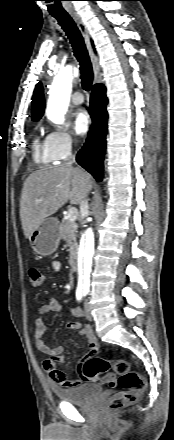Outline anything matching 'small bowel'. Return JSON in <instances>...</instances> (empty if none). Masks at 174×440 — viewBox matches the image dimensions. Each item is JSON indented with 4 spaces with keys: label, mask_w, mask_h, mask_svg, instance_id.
I'll return each mask as SVG.
<instances>
[{
    "label": "small bowel",
    "mask_w": 174,
    "mask_h": 440,
    "mask_svg": "<svg viewBox=\"0 0 174 440\" xmlns=\"http://www.w3.org/2000/svg\"><path fill=\"white\" fill-rule=\"evenodd\" d=\"M60 268V264L58 262L52 263V270L54 272H57ZM61 303L56 298H51L46 304H43L39 307L38 313L39 314H48V313H56L61 310ZM73 311L78 316H82V313L76 309H73ZM68 330H79V333L86 339L87 341V353L86 355L80 360L78 368H77V379H68L66 374L57 369L55 366V361L63 362L65 360V357L63 355L64 348L63 346H56L51 347L47 345L43 339L44 333L46 331V325L45 322L41 318H36L34 320V330H35V339H36V346L38 350L50 357L51 359L46 360L44 363V368L51 377V379L67 388L75 387L83 382L89 381L87 380L83 375V365L85 360L88 356L94 355L99 351V343L96 338V336L93 333V330L89 324H81L78 322H70L67 325ZM93 381H98L97 379Z\"/></svg>",
    "instance_id": "small-bowel-1"
}]
</instances>
